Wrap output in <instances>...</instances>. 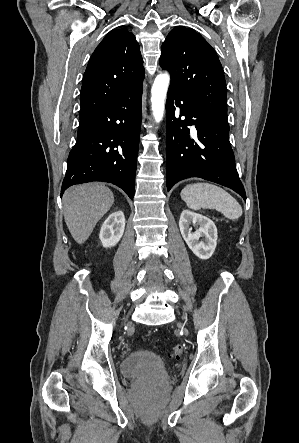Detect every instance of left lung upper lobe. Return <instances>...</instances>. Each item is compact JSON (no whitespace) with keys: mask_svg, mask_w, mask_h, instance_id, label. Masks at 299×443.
<instances>
[{"mask_svg":"<svg viewBox=\"0 0 299 443\" xmlns=\"http://www.w3.org/2000/svg\"><path fill=\"white\" fill-rule=\"evenodd\" d=\"M159 62L171 75L170 86L227 118L223 69L216 52L199 33L175 27L162 45Z\"/></svg>","mask_w":299,"mask_h":443,"instance_id":"1","label":"left lung upper lobe"}]
</instances>
